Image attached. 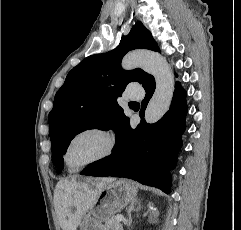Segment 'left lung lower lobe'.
Instances as JSON below:
<instances>
[{"label": "left lung lower lobe", "instance_id": "0a47b994", "mask_svg": "<svg viewBox=\"0 0 241 230\" xmlns=\"http://www.w3.org/2000/svg\"><path fill=\"white\" fill-rule=\"evenodd\" d=\"M143 87L146 95L139 112L140 124L132 129L129 118H125L116 131L112 154L92 163L80 174L125 177L169 193V171L175 167L185 130L186 92L180 82H176L169 111L158 122L147 124L143 118L155 90L154 79L151 77Z\"/></svg>", "mask_w": 241, "mask_h": 230}]
</instances>
